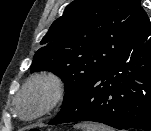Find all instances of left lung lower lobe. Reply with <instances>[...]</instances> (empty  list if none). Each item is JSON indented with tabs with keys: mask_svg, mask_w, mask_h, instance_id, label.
Returning <instances> with one entry per match:
<instances>
[{
	"mask_svg": "<svg viewBox=\"0 0 151 131\" xmlns=\"http://www.w3.org/2000/svg\"><path fill=\"white\" fill-rule=\"evenodd\" d=\"M78 121L151 130V22L142 7L128 53L88 79L49 124Z\"/></svg>",
	"mask_w": 151,
	"mask_h": 131,
	"instance_id": "0a47b994",
	"label": "left lung lower lobe"
}]
</instances>
